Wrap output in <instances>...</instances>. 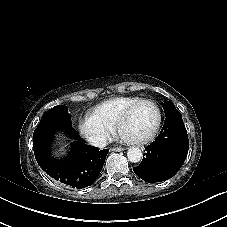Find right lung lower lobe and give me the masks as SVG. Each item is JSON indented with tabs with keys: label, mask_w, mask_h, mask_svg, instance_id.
<instances>
[{
	"label": "right lung lower lobe",
	"mask_w": 227,
	"mask_h": 227,
	"mask_svg": "<svg viewBox=\"0 0 227 227\" xmlns=\"http://www.w3.org/2000/svg\"><path fill=\"white\" fill-rule=\"evenodd\" d=\"M58 127L35 129L33 148L38 165L53 179L76 189L92 185L99 176L108 149L99 150L74 138L69 155L64 160H53L49 154L50 142Z\"/></svg>",
	"instance_id": "right-lung-lower-lobe-1"
}]
</instances>
